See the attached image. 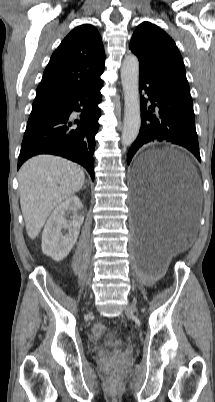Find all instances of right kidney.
<instances>
[{"label": "right kidney", "mask_w": 215, "mask_h": 402, "mask_svg": "<svg viewBox=\"0 0 215 402\" xmlns=\"http://www.w3.org/2000/svg\"><path fill=\"white\" fill-rule=\"evenodd\" d=\"M72 214L67 221L65 214ZM84 221L83 205L77 196H70L59 204L47 220L42 233V251L55 261L63 260L74 247ZM62 229L68 230L63 235Z\"/></svg>", "instance_id": "1"}]
</instances>
